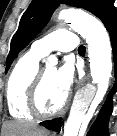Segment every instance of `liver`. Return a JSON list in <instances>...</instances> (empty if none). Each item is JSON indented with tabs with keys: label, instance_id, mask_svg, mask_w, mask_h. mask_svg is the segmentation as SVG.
I'll return each instance as SVG.
<instances>
[{
	"label": "liver",
	"instance_id": "6515ba94",
	"mask_svg": "<svg viewBox=\"0 0 117 136\" xmlns=\"http://www.w3.org/2000/svg\"><path fill=\"white\" fill-rule=\"evenodd\" d=\"M3 136H47L44 129L29 122H7L3 125Z\"/></svg>",
	"mask_w": 117,
	"mask_h": 136
}]
</instances>
